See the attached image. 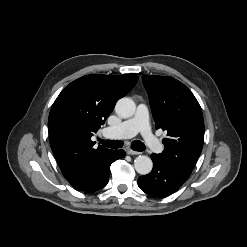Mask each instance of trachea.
<instances>
[{
	"label": "trachea",
	"instance_id": "3493384b",
	"mask_svg": "<svg viewBox=\"0 0 247 247\" xmlns=\"http://www.w3.org/2000/svg\"><path fill=\"white\" fill-rule=\"evenodd\" d=\"M99 142L101 144H103L104 146H106L108 148H112V149L121 148L123 146V142L120 140H102V139H99ZM131 148L135 151H143L145 149V145L141 141L135 140L132 142Z\"/></svg>",
	"mask_w": 247,
	"mask_h": 247
}]
</instances>
